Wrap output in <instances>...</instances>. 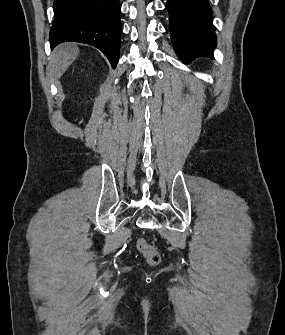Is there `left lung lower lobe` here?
<instances>
[{
  "instance_id": "0a47b994",
  "label": "left lung lower lobe",
  "mask_w": 285,
  "mask_h": 335,
  "mask_svg": "<svg viewBox=\"0 0 285 335\" xmlns=\"http://www.w3.org/2000/svg\"><path fill=\"white\" fill-rule=\"evenodd\" d=\"M170 31L174 49L188 64L196 57L213 58L216 35L209 0H168Z\"/></svg>"
}]
</instances>
